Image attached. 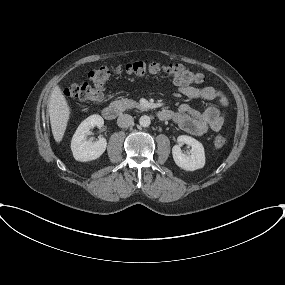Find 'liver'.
Wrapping results in <instances>:
<instances>
[{
    "mask_svg": "<svg viewBox=\"0 0 285 285\" xmlns=\"http://www.w3.org/2000/svg\"><path fill=\"white\" fill-rule=\"evenodd\" d=\"M70 113L68 102L61 88L57 85L52 91L49 100L50 124L53 137L57 143H60L63 139Z\"/></svg>",
    "mask_w": 285,
    "mask_h": 285,
    "instance_id": "liver-1",
    "label": "liver"
}]
</instances>
